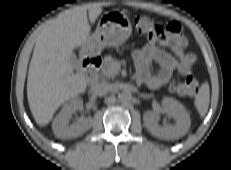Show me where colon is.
<instances>
[{"mask_svg": "<svg viewBox=\"0 0 231 170\" xmlns=\"http://www.w3.org/2000/svg\"><path fill=\"white\" fill-rule=\"evenodd\" d=\"M138 33L149 38H160L164 34V28L146 15H139L134 21ZM199 89V80L194 75H188L182 82L171 86V91L180 96H194Z\"/></svg>", "mask_w": 231, "mask_h": 170, "instance_id": "1", "label": "colon"}]
</instances>
